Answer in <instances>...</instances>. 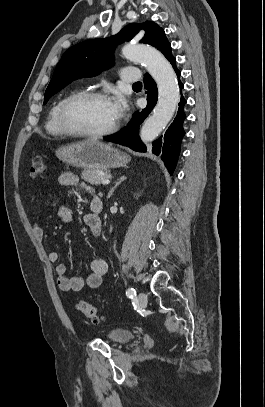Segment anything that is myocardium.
Instances as JSON below:
<instances>
[{
    "mask_svg": "<svg viewBox=\"0 0 265 407\" xmlns=\"http://www.w3.org/2000/svg\"><path fill=\"white\" fill-rule=\"evenodd\" d=\"M91 99L109 100V97L102 92L87 90L72 93L63 101L59 110L58 118L60 127L67 135L97 139L111 135L118 129V120H116L109 128L98 132L81 130L72 123L70 118V111L72 107L80 101Z\"/></svg>",
    "mask_w": 265,
    "mask_h": 407,
    "instance_id": "1",
    "label": "myocardium"
}]
</instances>
